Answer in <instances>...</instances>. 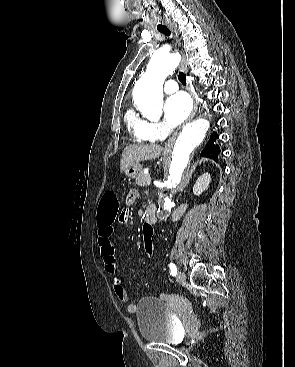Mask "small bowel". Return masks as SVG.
Masks as SVG:
<instances>
[{
    "label": "small bowel",
    "instance_id": "c3829d8e",
    "mask_svg": "<svg viewBox=\"0 0 295 367\" xmlns=\"http://www.w3.org/2000/svg\"><path fill=\"white\" fill-rule=\"evenodd\" d=\"M136 198V192L130 191L127 196V202L132 203ZM128 208H121L118 213L117 222L120 226L128 225ZM98 244L100 248V255L104 264V270L109 274H116L117 263L114 255V248L111 242V237L114 233V221H100L98 220ZM114 293L117 299L123 303H128V293L123 286L120 278L115 277L112 282ZM127 310L131 313L137 310L134 303L127 304Z\"/></svg>",
    "mask_w": 295,
    "mask_h": 367
}]
</instances>
